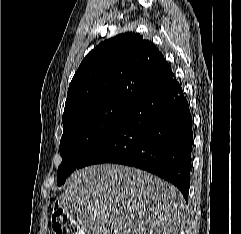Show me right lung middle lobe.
<instances>
[{"mask_svg": "<svg viewBox=\"0 0 241 234\" xmlns=\"http://www.w3.org/2000/svg\"><path fill=\"white\" fill-rule=\"evenodd\" d=\"M134 104L109 101L77 109L62 118L61 165L57 184L79 169L85 156L126 116Z\"/></svg>", "mask_w": 241, "mask_h": 234, "instance_id": "1", "label": "right lung middle lobe"}]
</instances>
